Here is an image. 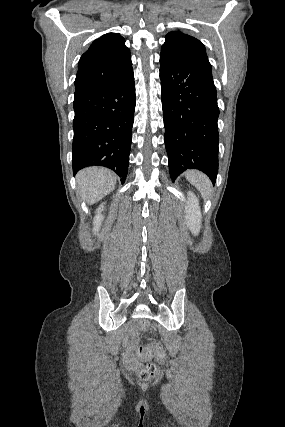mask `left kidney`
I'll list each match as a JSON object with an SVG mask.
<instances>
[{
  "mask_svg": "<svg viewBox=\"0 0 285 427\" xmlns=\"http://www.w3.org/2000/svg\"><path fill=\"white\" fill-rule=\"evenodd\" d=\"M187 199V205L185 207L187 225L191 232L197 235L200 231L202 220L199 202L196 195L192 192H188Z\"/></svg>",
  "mask_w": 285,
  "mask_h": 427,
  "instance_id": "1",
  "label": "left kidney"
}]
</instances>
